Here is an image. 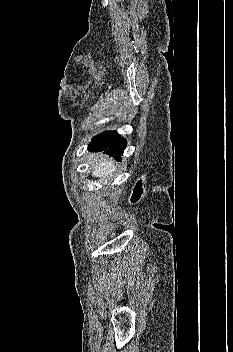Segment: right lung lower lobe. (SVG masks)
Segmentation results:
<instances>
[{
	"label": "right lung lower lobe",
	"instance_id": "right-lung-lower-lobe-1",
	"mask_svg": "<svg viewBox=\"0 0 233 352\" xmlns=\"http://www.w3.org/2000/svg\"><path fill=\"white\" fill-rule=\"evenodd\" d=\"M126 147V140L119 136L115 131L103 132L92 138L88 145L90 151H104V153L114 156L118 161H121V155Z\"/></svg>",
	"mask_w": 233,
	"mask_h": 352
}]
</instances>
